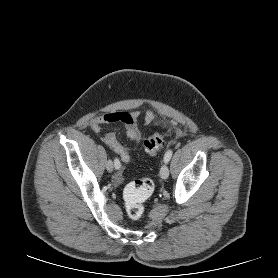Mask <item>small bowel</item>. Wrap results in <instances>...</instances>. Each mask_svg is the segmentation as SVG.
<instances>
[{
    "label": "small bowel",
    "instance_id": "obj_1",
    "mask_svg": "<svg viewBox=\"0 0 278 278\" xmlns=\"http://www.w3.org/2000/svg\"><path fill=\"white\" fill-rule=\"evenodd\" d=\"M139 117L140 112L135 110L131 112L116 111L110 112L101 116L94 118L91 121L90 127L94 132H99L104 125L112 123H121L126 128V135L128 139L133 141L138 145L142 139V134L139 128ZM155 119V114L153 111L148 110L144 114V123L150 124ZM103 142L109 146L113 151L119 156L122 162L128 163L131 161L132 156L128 149H126L116 138L115 134L112 132L106 133L103 136ZM119 160V159H118ZM115 180L119 182L121 176L118 174Z\"/></svg>",
    "mask_w": 278,
    "mask_h": 278
}]
</instances>
